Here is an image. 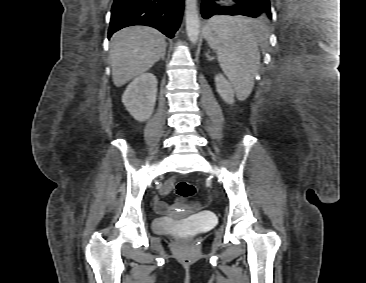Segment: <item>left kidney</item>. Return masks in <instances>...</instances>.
Listing matches in <instances>:
<instances>
[{
    "label": "left kidney",
    "instance_id": "obj_1",
    "mask_svg": "<svg viewBox=\"0 0 366 283\" xmlns=\"http://www.w3.org/2000/svg\"><path fill=\"white\" fill-rule=\"evenodd\" d=\"M216 89L221 98L228 104L234 103V90L227 79L222 75L218 74L215 77Z\"/></svg>",
    "mask_w": 366,
    "mask_h": 283
}]
</instances>
